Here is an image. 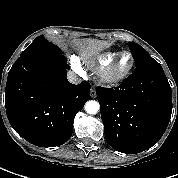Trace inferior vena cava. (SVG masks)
Masks as SVG:
<instances>
[{
  "label": "inferior vena cava",
  "instance_id": "inferior-vena-cava-1",
  "mask_svg": "<svg viewBox=\"0 0 178 178\" xmlns=\"http://www.w3.org/2000/svg\"><path fill=\"white\" fill-rule=\"evenodd\" d=\"M67 78L73 84H79L82 81V79L73 72H69Z\"/></svg>",
  "mask_w": 178,
  "mask_h": 178
}]
</instances>
